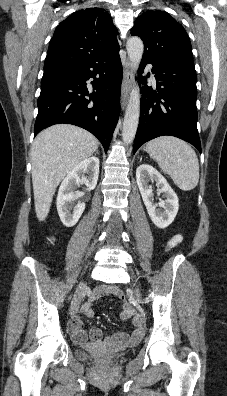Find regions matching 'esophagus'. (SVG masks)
Instances as JSON below:
<instances>
[{"label": "esophagus", "mask_w": 227, "mask_h": 396, "mask_svg": "<svg viewBox=\"0 0 227 396\" xmlns=\"http://www.w3.org/2000/svg\"><path fill=\"white\" fill-rule=\"evenodd\" d=\"M133 67L132 64L129 60H126L125 65H124V76H123V81H122V86H121V108L124 110L126 108L128 98H129V93H130V88L132 85L133 81Z\"/></svg>", "instance_id": "34e87169"}]
</instances>
